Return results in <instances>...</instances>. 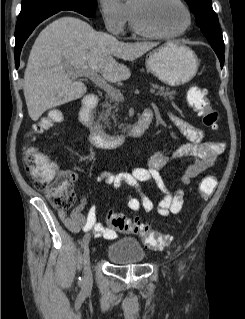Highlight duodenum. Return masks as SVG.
I'll use <instances>...</instances> for the list:
<instances>
[{
  "instance_id": "duodenum-1",
  "label": "duodenum",
  "mask_w": 245,
  "mask_h": 319,
  "mask_svg": "<svg viewBox=\"0 0 245 319\" xmlns=\"http://www.w3.org/2000/svg\"><path fill=\"white\" fill-rule=\"evenodd\" d=\"M97 100L96 95H87L83 98L79 110V121L89 130V140L92 145L103 149H113L120 146L128 137L142 136L149 128L152 116L148 112H144L126 133H106L93 117V110L97 105Z\"/></svg>"
}]
</instances>
